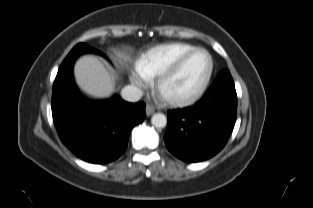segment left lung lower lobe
<instances>
[{
	"label": "left lung lower lobe",
	"mask_w": 313,
	"mask_h": 208,
	"mask_svg": "<svg viewBox=\"0 0 313 208\" xmlns=\"http://www.w3.org/2000/svg\"><path fill=\"white\" fill-rule=\"evenodd\" d=\"M236 115L234 82L218 75L194 106L168 111L165 144L173 155L185 162L204 161L225 146Z\"/></svg>",
	"instance_id": "1"
}]
</instances>
